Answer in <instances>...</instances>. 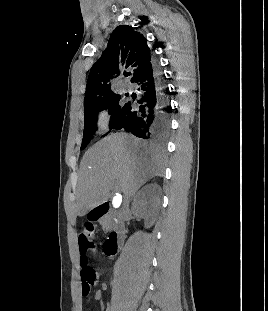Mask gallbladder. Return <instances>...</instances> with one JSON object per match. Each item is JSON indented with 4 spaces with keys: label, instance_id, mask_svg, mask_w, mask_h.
Here are the masks:
<instances>
[{
    "label": "gallbladder",
    "instance_id": "1",
    "mask_svg": "<svg viewBox=\"0 0 268 311\" xmlns=\"http://www.w3.org/2000/svg\"><path fill=\"white\" fill-rule=\"evenodd\" d=\"M123 205H124L123 199H112L110 206L112 209H117V208H121V206H123Z\"/></svg>",
    "mask_w": 268,
    "mask_h": 311
}]
</instances>
